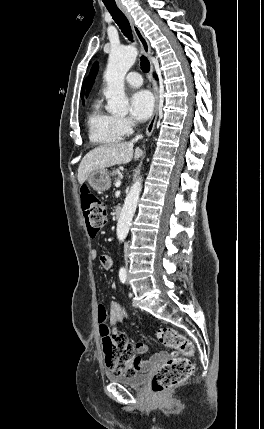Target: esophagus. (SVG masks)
I'll list each match as a JSON object with an SVG mask.
<instances>
[{
	"mask_svg": "<svg viewBox=\"0 0 264 429\" xmlns=\"http://www.w3.org/2000/svg\"><path fill=\"white\" fill-rule=\"evenodd\" d=\"M118 7L123 12V14L126 16V18L128 19V21H129V23H130V25H131L134 33H135L140 45H141L142 52L147 57H149L150 53H151V47H150V44H149L147 38L142 33L141 29L137 26V24L135 23L132 15L127 10V8L121 3L118 4ZM152 73H153V67H151V76H152L153 93H154V98H155V106H154L153 115H152V117H151V119H150V121L146 127L145 134L147 137H149L152 134V132L155 128V124H156L157 117H158V110H159V92H158L156 81L153 78Z\"/></svg>",
	"mask_w": 264,
	"mask_h": 429,
	"instance_id": "1",
	"label": "esophagus"
}]
</instances>
